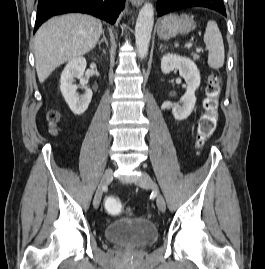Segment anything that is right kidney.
<instances>
[{"label":"right kidney","instance_id":"obj_1","mask_svg":"<svg viewBox=\"0 0 265 269\" xmlns=\"http://www.w3.org/2000/svg\"><path fill=\"white\" fill-rule=\"evenodd\" d=\"M86 64L85 58L77 57L68 62L61 74V93L75 115L83 114L87 110L92 99V90L85 86L88 81L83 78ZM74 78H78L81 86L85 88V92L81 96L77 93L78 86L73 83Z\"/></svg>","mask_w":265,"mask_h":269}]
</instances>
